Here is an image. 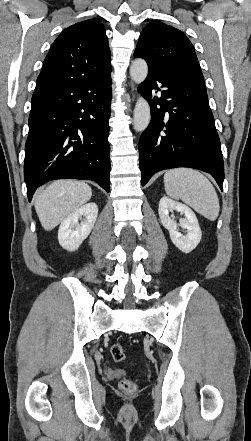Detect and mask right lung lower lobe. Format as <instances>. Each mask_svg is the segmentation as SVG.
Segmentation results:
<instances>
[{
  "instance_id": "right-lung-lower-lobe-1",
  "label": "right lung lower lobe",
  "mask_w": 251,
  "mask_h": 441,
  "mask_svg": "<svg viewBox=\"0 0 251 441\" xmlns=\"http://www.w3.org/2000/svg\"><path fill=\"white\" fill-rule=\"evenodd\" d=\"M110 74L36 85L25 145L29 201L53 179L93 180L110 191Z\"/></svg>"
}]
</instances>
